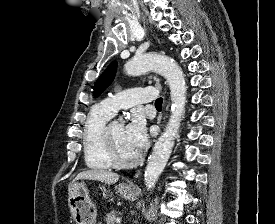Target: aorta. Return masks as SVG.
Instances as JSON below:
<instances>
[{
    "mask_svg": "<svg viewBox=\"0 0 275 224\" xmlns=\"http://www.w3.org/2000/svg\"><path fill=\"white\" fill-rule=\"evenodd\" d=\"M151 70L160 73L166 78L170 88L172 105L169 122L156 141L148 159L144 174L147 190L155 187L168 162L185 109L187 90L182 70L173 59L167 56L152 53L144 54L135 56L125 64V71L133 76Z\"/></svg>",
    "mask_w": 275,
    "mask_h": 224,
    "instance_id": "aorta-1",
    "label": "aorta"
}]
</instances>
